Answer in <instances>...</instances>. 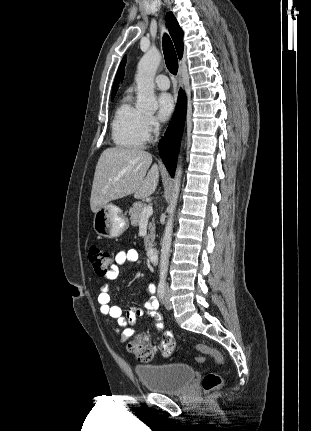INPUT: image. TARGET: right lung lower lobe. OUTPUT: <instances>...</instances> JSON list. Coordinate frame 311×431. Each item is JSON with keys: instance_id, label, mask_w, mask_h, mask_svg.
I'll return each instance as SVG.
<instances>
[{"instance_id": "right-lung-lower-lobe-1", "label": "right lung lower lobe", "mask_w": 311, "mask_h": 431, "mask_svg": "<svg viewBox=\"0 0 311 431\" xmlns=\"http://www.w3.org/2000/svg\"><path fill=\"white\" fill-rule=\"evenodd\" d=\"M186 106V96L184 92L180 90L174 117L165 137L159 143L160 156L172 177L174 176L176 168L177 155L184 127Z\"/></svg>"}]
</instances>
